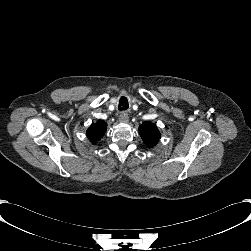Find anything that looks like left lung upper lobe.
Listing matches in <instances>:
<instances>
[{
	"label": "left lung upper lobe",
	"instance_id": "1",
	"mask_svg": "<svg viewBox=\"0 0 251 251\" xmlns=\"http://www.w3.org/2000/svg\"><path fill=\"white\" fill-rule=\"evenodd\" d=\"M139 134L145 144L149 147H154L159 142L161 137L156 125L148 121H145L142 123V125H140Z\"/></svg>",
	"mask_w": 251,
	"mask_h": 251
}]
</instances>
